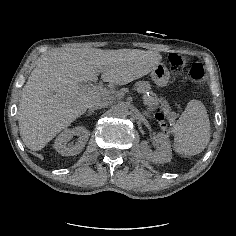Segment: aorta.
Here are the masks:
<instances>
[{
  "label": "aorta",
  "mask_w": 236,
  "mask_h": 236,
  "mask_svg": "<svg viewBox=\"0 0 236 236\" xmlns=\"http://www.w3.org/2000/svg\"><path fill=\"white\" fill-rule=\"evenodd\" d=\"M112 112L115 117L125 118L129 114V109L124 102H121L113 106Z\"/></svg>",
  "instance_id": "1"
}]
</instances>
